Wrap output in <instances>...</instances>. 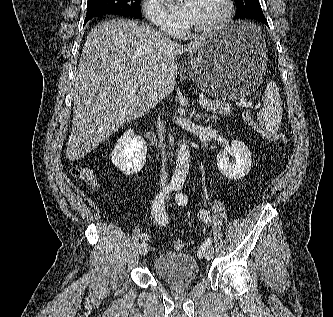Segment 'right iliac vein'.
I'll return each instance as SVG.
<instances>
[{"label":"right iliac vein","mask_w":333,"mask_h":317,"mask_svg":"<svg viewBox=\"0 0 333 317\" xmlns=\"http://www.w3.org/2000/svg\"><path fill=\"white\" fill-rule=\"evenodd\" d=\"M149 251V245L147 242H142L139 247V252L141 256H145Z\"/></svg>","instance_id":"1"}]
</instances>
